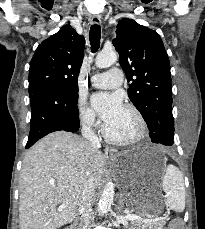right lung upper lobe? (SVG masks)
I'll return each instance as SVG.
<instances>
[{"instance_id": "1", "label": "right lung upper lobe", "mask_w": 205, "mask_h": 229, "mask_svg": "<svg viewBox=\"0 0 205 229\" xmlns=\"http://www.w3.org/2000/svg\"><path fill=\"white\" fill-rule=\"evenodd\" d=\"M84 47V37L68 24L44 40L30 63L29 95L47 88L64 89L68 84H77Z\"/></svg>"}]
</instances>
